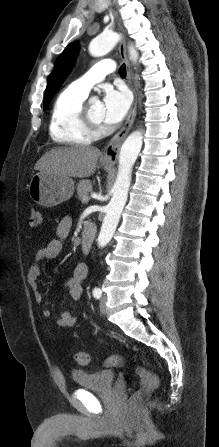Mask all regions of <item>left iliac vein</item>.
Listing matches in <instances>:
<instances>
[{"label":"left iliac vein","instance_id":"obj_1","mask_svg":"<svg viewBox=\"0 0 219 447\" xmlns=\"http://www.w3.org/2000/svg\"><path fill=\"white\" fill-rule=\"evenodd\" d=\"M106 298L102 297L101 301H100V310L102 314L106 313Z\"/></svg>","mask_w":219,"mask_h":447}]
</instances>
